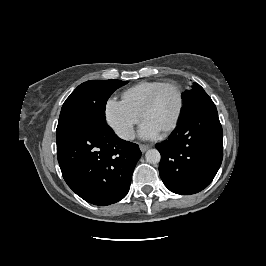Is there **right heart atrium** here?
Wrapping results in <instances>:
<instances>
[{"label":"right heart atrium","mask_w":266,"mask_h":266,"mask_svg":"<svg viewBox=\"0 0 266 266\" xmlns=\"http://www.w3.org/2000/svg\"><path fill=\"white\" fill-rule=\"evenodd\" d=\"M104 115L108 125L120 138L129 140L133 137L134 127L140 120V114L123 100L108 98L104 106Z\"/></svg>","instance_id":"d8ad5b80"}]
</instances>
